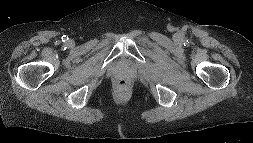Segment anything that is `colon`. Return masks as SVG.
<instances>
[{
    "label": "colon",
    "instance_id": "1",
    "mask_svg": "<svg viewBox=\"0 0 253 143\" xmlns=\"http://www.w3.org/2000/svg\"><path fill=\"white\" fill-rule=\"evenodd\" d=\"M128 86V82L125 79H119L116 82V87L120 90L125 89Z\"/></svg>",
    "mask_w": 253,
    "mask_h": 143
}]
</instances>
